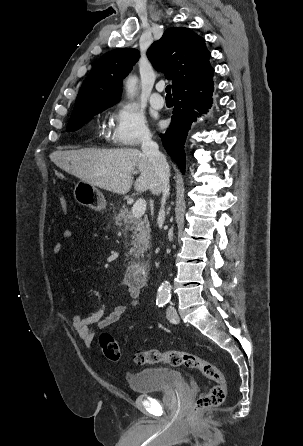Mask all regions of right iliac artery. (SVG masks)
I'll return each mask as SVG.
<instances>
[{
    "label": "right iliac artery",
    "instance_id": "right-iliac-artery-1",
    "mask_svg": "<svg viewBox=\"0 0 303 446\" xmlns=\"http://www.w3.org/2000/svg\"><path fill=\"white\" fill-rule=\"evenodd\" d=\"M166 300L165 299H159L156 301V304L158 305V307H163L166 304Z\"/></svg>",
    "mask_w": 303,
    "mask_h": 446
}]
</instances>
